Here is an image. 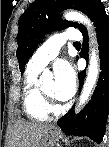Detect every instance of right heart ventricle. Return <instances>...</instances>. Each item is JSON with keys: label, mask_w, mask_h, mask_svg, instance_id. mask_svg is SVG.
I'll use <instances>...</instances> for the list:
<instances>
[{"label": "right heart ventricle", "mask_w": 109, "mask_h": 147, "mask_svg": "<svg viewBox=\"0 0 109 147\" xmlns=\"http://www.w3.org/2000/svg\"><path fill=\"white\" fill-rule=\"evenodd\" d=\"M40 69L27 66L22 85V106L25 114L35 121H44L49 117L50 108L44 99L37 85V77Z\"/></svg>", "instance_id": "e07e8e85"}]
</instances>
